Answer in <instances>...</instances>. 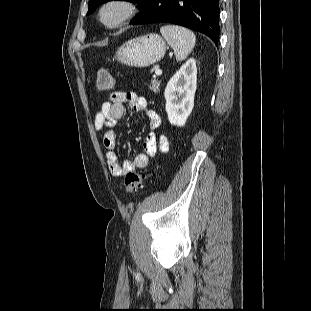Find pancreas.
<instances>
[{
  "label": "pancreas",
  "instance_id": "1",
  "mask_svg": "<svg viewBox=\"0 0 311 311\" xmlns=\"http://www.w3.org/2000/svg\"><path fill=\"white\" fill-rule=\"evenodd\" d=\"M160 84H161V81L154 79L151 81L149 88L154 93H158L160 91V89H159Z\"/></svg>",
  "mask_w": 311,
  "mask_h": 311
}]
</instances>
